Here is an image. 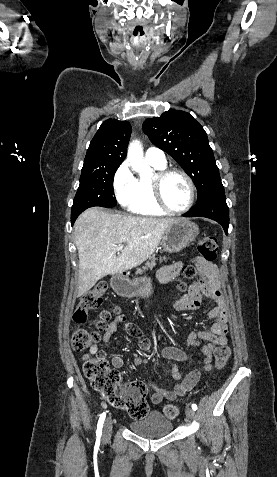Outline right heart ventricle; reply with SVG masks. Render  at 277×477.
<instances>
[{
  "mask_svg": "<svg viewBox=\"0 0 277 477\" xmlns=\"http://www.w3.org/2000/svg\"><path fill=\"white\" fill-rule=\"evenodd\" d=\"M150 165L158 171L165 167L151 163ZM151 180V178L145 177L136 179L135 194L132 201L127 206L132 213L145 217H156L165 214L155 202Z\"/></svg>",
  "mask_w": 277,
  "mask_h": 477,
  "instance_id": "obj_1",
  "label": "right heart ventricle"
}]
</instances>
